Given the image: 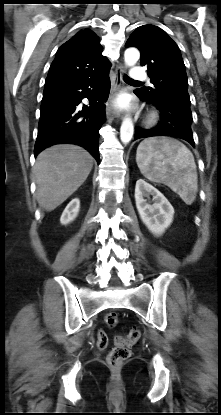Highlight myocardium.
<instances>
[{
  "label": "myocardium",
  "mask_w": 221,
  "mask_h": 415,
  "mask_svg": "<svg viewBox=\"0 0 221 415\" xmlns=\"http://www.w3.org/2000/svg\"><path fill=\"white\" fill-rule=\"evenodd\" d=\"M158 119V114L156 112H151L147 117V124L152 125L155 124Z\"/></svg>",
  "instance_id": "obj_1"
}]
</instances>
